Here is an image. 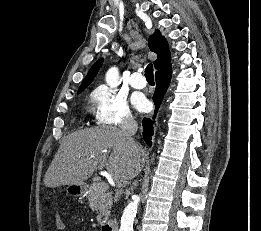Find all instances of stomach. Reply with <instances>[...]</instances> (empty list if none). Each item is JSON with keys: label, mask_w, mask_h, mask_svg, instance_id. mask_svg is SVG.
<instances>
[{"label": "stomach", "mask_w": 261, "mask_h": 231, "mask_svg": "<svg viewBox=\"0 0 261 231\" xmlns=\"http://www.w3.org/2000/svg\"><path fill=\"white\" fill-rule=\"evenodd\" d=\"M87 189V186L82 183V184H73V185H69L67 187V191L70 193V194H73L75 196H81L85 193Z\"/></svg>", "instance_id": "1"}]
</instances>
